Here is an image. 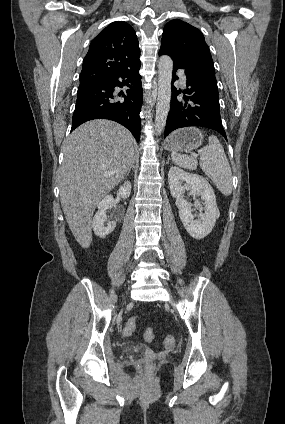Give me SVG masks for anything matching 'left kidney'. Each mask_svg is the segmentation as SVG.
Here are the masks:
<instances>
[{
  "instance_id": "obj_1",
  "label": "left kidney",
  "mask_w": 285,
  "mask_h": 424,
  "mask_svg": "<svg viewBox=\"0 0 285 424\" xmlns=\"http://www.w3.org/2000/svg\"><path fill=\"white\" fill-rule=\"evenodd\" d=\"M168 182L185 229L195 239L205 238L212 231L220 215L213 188L201 175L188 173L176 166L170 168ZM186 190H190L193 196H200L204 201V213H200L197 220L192 214L190 204L184 198ZM195 207L203 209L200 202H197Z\"/></svg>"
}]
</instances>
